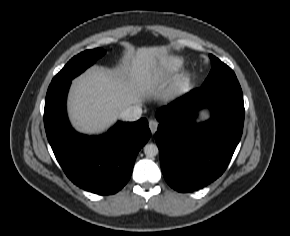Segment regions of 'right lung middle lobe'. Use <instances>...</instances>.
I'll return each mask as SVG.
<instances>
[{
  "mask_svg": "<svg viewBox=\"0 0 290 236\" xmlns=\"http://www.w3.org/2000/svg\"><path fill=\"white\" fill-rule=\"evenodd\" d=\"M105 53L101 48L86 50L73 57L64 68L53 78L52 82H62L73 79Z\"/></svg>",
  "mask_w": 290,
  "mask_h": 236,
  "instance_id": "dd1d6c3e",
  "label": "right lung middle lobe"
}]
</instances>
